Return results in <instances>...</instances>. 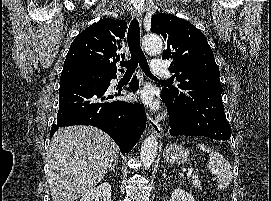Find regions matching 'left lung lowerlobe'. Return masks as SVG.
Instances as JSON below:
<instances>
[{
  "instance_id": "obj_1",
  "label": "left lung lower lobe",
  "mask_w": 271,
  "mask_h": 201,
  "mask_svg": "<svg viewBox=\"0 0 271 201\" xmlns=\"http://www.w3.org/2000/svg\"><path fill=\"white\" fill-rule=\"evenodd\" d=\"M161 98L167 106L169 112V125L170 133L173 136L185 135V136H205L203 132L192 127L191 125L183 122L173 106L172 100L165 93H161ZM206 137V136H205Z\"/></svg>"
}]
</instances>
